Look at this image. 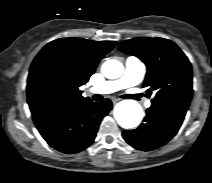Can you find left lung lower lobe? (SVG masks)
<instances>
[{"instance_id": "0a47b994", "label": "left lung lower lobe", "mask_w": 212, "mask_h": 183, "mask_svg": "<svg viewBox=\"0 0 212 183\" xmlns=\"http://www.w3.org/2000/svg\"><path fill=\"white\" fill-rule=\"evenodd\" d=\"M187 109L152 104L147 109L144 123L135 130H125L122 135L132 147L150 151L166 144L179 130Z\"/></svg>"}]
</instances>
